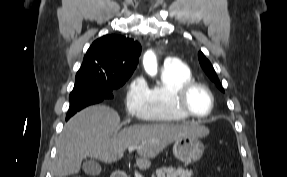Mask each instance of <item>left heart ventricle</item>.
<instances>
[{
	"mask_svg": "<svg viewBox=\"0 0 287 177\" xmlns=\"http://www.w3.org/2000/svg\"><path fill=\"white\" fill-rule=\"evenodd\" d=\"M210 105L209 95L201 88L194 89L188 97V106L197 115H206L210 109Z\"/></svg>",
	"mask_w": 287,
	"mask_h": 177,
	"instance_id": "1",
	"label": "left heart ventricle"
}]
</instances>
